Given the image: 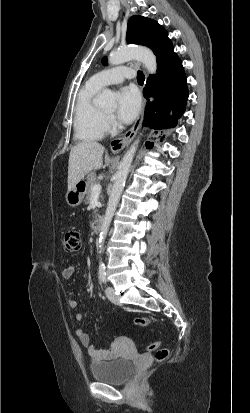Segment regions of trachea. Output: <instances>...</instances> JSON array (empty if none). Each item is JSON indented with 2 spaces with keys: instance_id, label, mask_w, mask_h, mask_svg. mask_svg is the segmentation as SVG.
<instances>
[{
  "instance_id": "obj_1",
  "label": "trachea",
  "mask_w": 250,
  "mask_h": 413,
  "mask_svg": "<svg viewBox=\"0 0 250 413\" xmlns=\"http://www.w3.org/2000/svg\"><path fill=\"white\" fill-rule=\"evenodd\" d=\"M144 80H145L144 74L142 73V71H138V73H137V81H138V83H143Z\"/></svg>"
}]
</instances>
